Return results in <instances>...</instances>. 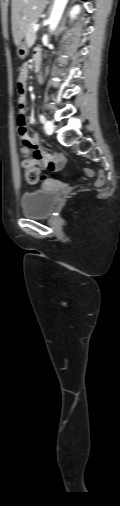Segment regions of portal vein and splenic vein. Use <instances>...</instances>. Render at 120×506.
Here are the masks:
<instances>
[{
  "instance_id": "18ae733b",
  "label": "portal vein and splenic vein",
  "mask_w": 120,
  "mask_h": 506,
  "mask_svg": "<svg viewBox=\"0 0 120 506\" xmlns=\"http://www.w3.org/2000/svg\"><path fill=\"white\" fill-rule=\"evenodd\" d=\"M38 29H39V25H38V24H37V25H34L33 31H34V32H37V31H38Z\"/></svg>"
}]
</instances>
